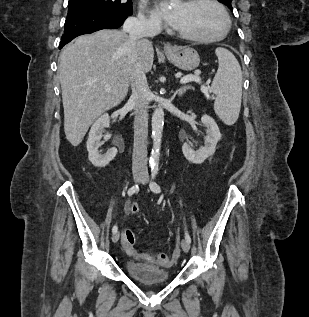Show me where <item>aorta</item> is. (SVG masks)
I'll list each match as a JSON object with an SVG mask.
<instances>
[{"label":"aorta","instance_id":"762f6f07","mask_svg":"<svg viewBox=\"0 0 309 317\" xmlns=\"http://www.w3.org/2000/svg\"><path fill=\"white\" fill-rule=\"evenodd\" d=\"M179 0H171L173 3H177ZM164 125V111L161 107L154 110L152 115V139L153 148L150 156V165L155 167L159 163L162 133Z\"/></svg>","mask_w":309,"mask_h":317}]
</instances>
